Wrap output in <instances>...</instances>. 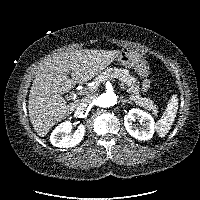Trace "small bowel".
<instances>
[{"label": "small bowel", "instance_id": "c3829d8e", "mask_svg": "<svg viewBox=\"0 0 200 200\" xmlns=\"http://www.w3.org/2000/svg\"><path fill=\"white\" fill-rule=\"evenodd\" d=\"M143 87L144 89L147 87V82L144 83Z\"/></svg>", "mask_w": 200, "mask_h": 200}]
</instances>
